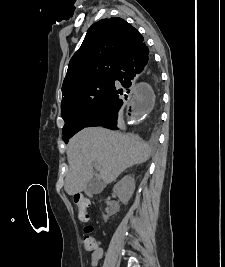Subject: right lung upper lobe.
Instances as JSON below:
<instances>
[{
    "mask_svg": "<svg viewBox=\"0 0 225 267\" xmlns=\"http://www.w3.org/2000/svg\"><path fill=\"white\" fill-rule=\"evenodd\" d=\"M143 40L138 30L122 18L93 24L69 62L62 94L87 81L113 75L121 57Z\"/></svg>",
    "mask_w": 225,
    "mask_h": 267,
    "instance_id": "right-lung-upper-lobe-1",
    "label": "right lung upper lobe"
}]
</instances>
